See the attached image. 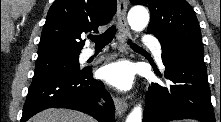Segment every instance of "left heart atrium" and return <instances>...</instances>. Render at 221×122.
Masks as SVG:
<instances>
[{
	"label": "left heart atrium",
	"instance_id": "1",
	"mask_svg": "<svg viewBox=\"0 0 221 122\" xmlns=\"http://www.w3.org/2000/svg\"><path fill=\"white\" fill-rule=\"evenodd\" d=\"M101 77L119 89H129L133 83V69L125 62H114L100 69Z\"/></svg>",
	"mask_w": 221,
	"mask_h": 122
}]
</instances>
